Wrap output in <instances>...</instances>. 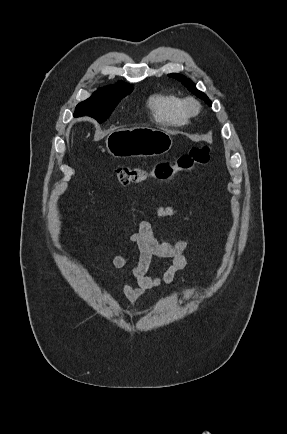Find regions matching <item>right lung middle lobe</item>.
I'll list each match as a JSON object with an SVG mask.
<instances>
[{
    "label": "right lung middle lobe",
    "instance_id": "1",
    "mask_svg": "<svg viewBox=\"0 0 287 434\" xmlns=\"http://www.w3.org/2000/svg\"><path fill=\"white\" fill-rule=\"evenodd\" d=\"M131 92L132 87L126 85L99 88L90 98L77 105L74 116L88 115L102 123L110 116L119 100Z\"/></svg>",
    "mask_w": 287,
    "mask_h": 434
}]
</instances>
